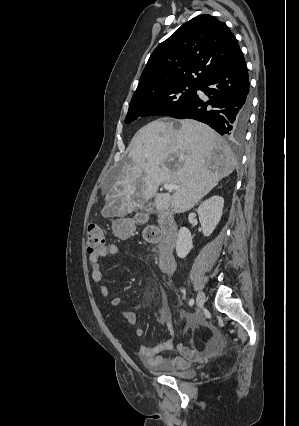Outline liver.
Here are the masks:
<instances>
[{"instance_id":"6515ba94","label":"liver","mask_w":299,"mask_h":426,"mask_svg":"<svg viewBox=\"0 0 299 426\" xmlns=\"http://www.w3.org/2000/svg\"><path fill=\"white\" fill-rule=\"evenodd\" d=\"M126 163L116 181L104 189L102 215L123 217L154 198L158 211L190 210L235 169L227 143L209 126L191 119L155 120L133 137ZM179 186L171 195L159 185Z\"/></svg>"}]
</instances>
